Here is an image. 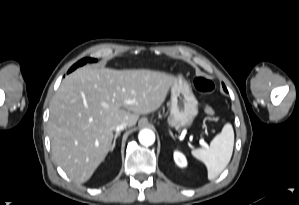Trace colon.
<instances>
[{
	"label": "colon",
	"instance_id": "1",
	"mask_svg": "<svg viewBox=\"0 0 299 205\" xmlns=\"http://www.w3.org/2000/svg\"><path fill=\"white\" fill-rule=\"evenodd\" d=\"M194 86L199 92L203 94H209L214 90V83L206 76L196 77L194 80ZM204 109L206 114L209 116H213L215 113L213 107L209 104H205Z\"/></svg>",
	"mask_w": 299,
	"mask_h": 205
}]
</instances>
